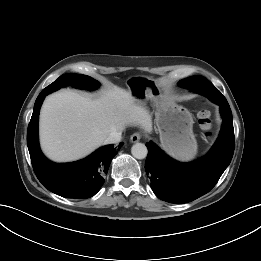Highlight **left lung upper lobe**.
<instances>
[{"label": "left lung upper lobe", "instance_id": "obj_1", "mask_svg": "<svg viewBox=\"0 0 261 261\" xmlns=\"http://www.w3.org/2000/svg\"><path fill=\"white\" fill-rule=\"evenodd\" d=\"M206 78H204L203 76H200V75H196V76H192V77H189V78H185V79H182L180 82H179V85L182 86V87H186V88H192L194 87L198 81H202V80H205Z\"/></svg>", "mask_w": 261, "mask_h": 261}]
</instances>
